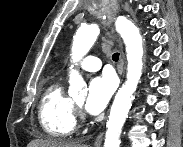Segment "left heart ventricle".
I'll return each instance as SVG.
<instances>
[{
	"label": "left heart ventricle",
	"instance_id": "obj_1",
	"mask_svg": "<svg viewBox=\"0 0 183 147\" xmlns=\"http://www.w3.org/2000/svg\"><path fill=\"white\" fill-rule=\"evenodd\" d=\"M82 102H83V99H80L77 101L78 104H82Z\"/></svg>",
	"mask_w": 183,
	"mask_h": 147
}]
</instances>
